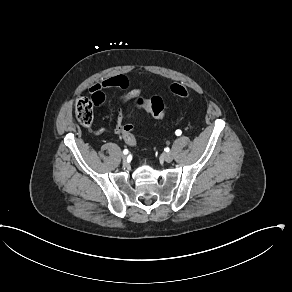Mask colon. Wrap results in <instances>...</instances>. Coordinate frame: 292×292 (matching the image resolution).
<instances>
[{"label": "colon", "instance_id": "1", "mask_svg": "<svg viewBox=\"0 0 292 292\" xmlns=\"http://www.w3.org/2000/svg\"><path fill=\"white\" fill-rule=\"evenodd\" d=\"M173 93L178 96H185V90L179 84L173 86ZM105 96L101 91H95L91 96L81 95L74 104V116L84 127H90L94 119V109L104 102ZM134 106L138 110H145L157 119H162L165 115L163 100L158 96L150 99L139 98L135 100ZM130 118V114L127 115ZM133 126L127 123L123 126V139L129 147L136 144V139L131 133Z\"/></svg>", "mask_w": 292, "mask_h": 292}]
</instances>
